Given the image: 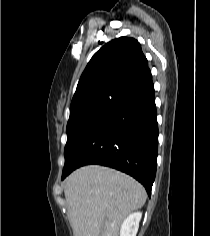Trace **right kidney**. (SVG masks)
I'll return each instance as SVG.
<instances>
[{"mask_svg":"<svg viewBox=\"0 0 210 236\" xmlns=\"http://www.w3.org/2000/svg\"><path fill=\"white\" fill-rule=\"evenodd\" d=\"M141 217V212L130 214L121 225L120 236H136Z\"/></svg>","mask_w":210,"mask_h":236,"instance_id":"right-kidney-1","label":"right kidney"}]
</instances>
